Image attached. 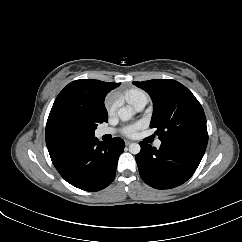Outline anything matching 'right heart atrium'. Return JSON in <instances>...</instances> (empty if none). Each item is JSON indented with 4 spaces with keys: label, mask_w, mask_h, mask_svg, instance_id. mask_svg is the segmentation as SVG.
I'll return each instance as SVG.
<instances>
[{
    "label": "right heart atrium",
    "mask_w": 242,
    "mask_h": 242,
    "mask_svg": "<svg viewBox=\"0 0 242 242\" xmlns=\"http://www.w3.org/2000/svg\"><path fill=\"white\" fill-rule=\"evenodd\" d=\"M106 108L109 113L113 112L116 108V101L114 97H109L108 100L106 101Z\"/></svg>",
    "instance_id": "right-heart-atrium-1"
}]
</instances>
